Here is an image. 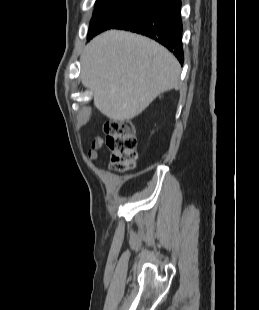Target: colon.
<instances>
[{"instance_id":"obj_1","label":"colon","mask_w":259,"mask_h":310,"mask_svg":"<svg viewBox=\"0 0 259 310\" xmlns=\"http://www.w3.org/2000/svg\"><path fill=\"white\" fill-rule=\"evenodd\" d=\"M107 146L111 150V165L120 172L136 165L137 139L130 121H109L104 125Z\"/></svg>"}]
</instances>
